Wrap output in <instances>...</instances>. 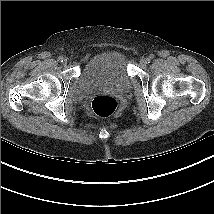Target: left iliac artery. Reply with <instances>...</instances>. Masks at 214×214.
<instances>
[{
    "mask_svg": "<svg viewBox=\"0 0 214 214\" xmlns=\"http://www.w3.org/2000/svg\"><path fill=\"white\" fill-rule=\"evenodd\" d=\"M154 58V55L153 54H150L149 55V58H148V61H150L151 59H153ZM149 63V62H148Z\"/></svg>",
    "mask_w": 214,
    "mask_h": 214,
    "instance_id": "1",
    "label": "left iliac artery"
}]
</instances>
